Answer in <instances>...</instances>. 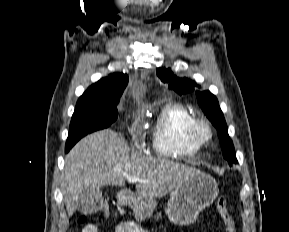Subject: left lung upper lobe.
<instances>
[{"label":"left lung upper lobe","mask_w":289,"mask_h":232,"mask_svg":"<svg viewBox=\"0 0 289 232\" xmlns=\"http://www.w3.org/2000/svg\"><path fill=\"white\" fill-rule=\"evenodd\" d=\"M157 75L164 83H169V88L179 95L194 91L197 84L187 78H179L170 69L158 68ZM197 101L208 119L216 127L223 151V157L232 163H237L233 143L228 135V128L219 107L217 98L210 91L196 90Z\"/></svg>","instance_id":"obj_1"}]
</instances>
